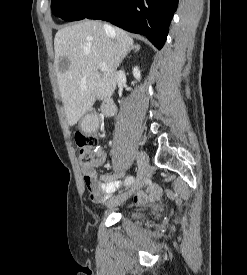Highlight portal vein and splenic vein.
Returning a JSON list of instances; mask_svg holds the SVG:
<instances>
[{
    "instance_id": "1",
    "label": "portal vein and splenic vein",
    "mask_w": 247,
    "mask_h": 275,
    "mask_svg": "<svg viewBox=\"0 0 247 275\" xmlns=\"http://www.w3.org/2000/svg\"><path fill=\"white\" fill-rule=\"evenodd\" d=\"M98 68L102 71V72H105L107 71V65L105 63H100L98 65Z\"/></svg>"
}]
</instances>
